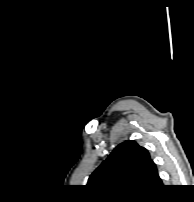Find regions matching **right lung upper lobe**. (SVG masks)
I'll use <instances>...</instances> for the list:
<instances>
[{
    "label": "right lung upper lobe",
    "instance_id": "1",
    "mask_svg": "<svg viewBox=\"0 0 194 202\" xmlns=\"http://www.w3.org/2000/svg\"><path fill=\"white\" fill-rule=\"evenodd\" d=\"M87 185L105 195L141 196L162 187V181L149 152L129 140L112 151Z\"/></svg>",
    "mask_w": 194,
    "mask_h": 202
}]
</instances>
